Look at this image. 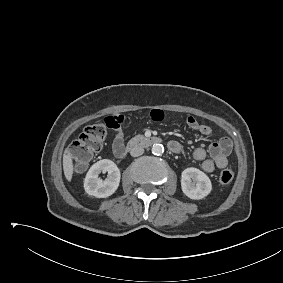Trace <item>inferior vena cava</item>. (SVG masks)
<instances>
[{"mask_svg": "<svg viewBox=\"0 0 283 283\" xmlns=\"http://www.w3.org/2000/svg\"><path fill=\"white\" fill-rule=\"evenodd\" d=\"M144 153V148L141 146H134L131 148L130 154L132 157H138Z\"/></svg>", "mask_w": 283, "mask_h": 283, "instance_id": "obj_1", "label": "inferior vena cava"}]
</instances>
